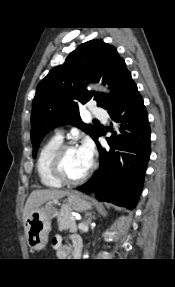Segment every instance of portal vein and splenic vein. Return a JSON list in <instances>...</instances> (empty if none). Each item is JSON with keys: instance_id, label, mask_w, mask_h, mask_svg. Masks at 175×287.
I'll return each mask as SVG.
<instances>
[{"instance_id": "portal-vein-and-splenic-vein-1", "label": "portal vein and splenic vein", "mask_w": 175, "mask_h": 287, "mask_svg": "<svg viewBox=\"0 0 175 287\" xmlns=\"http://www.w3.org/2000/svg\"><path fill=\"white\" fill-rule=\"evenodd\" d=\"M74 219L80 220V217L77 216V217H75Z\"/></svg>"}]
</instances>
